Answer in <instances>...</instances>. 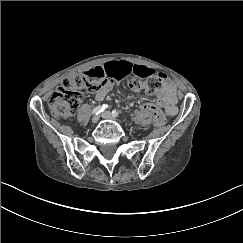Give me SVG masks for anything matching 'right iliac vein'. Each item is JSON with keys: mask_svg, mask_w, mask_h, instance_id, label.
I'll list each match as a JSON object with an SVG mask.
<instances>
[{"mask_svg": "<svg viewBox=\"0 0 243 243\" xmlns=\"http://www.w3.org/2000/svg\"><path fill=\"white\" fill-rule=\"evenodd\" d=\"M98 120H99V116H98V115H95V116H93V118H92V123L95 124V123L98 122Z\"/></svg>", "mask_w": 243, "mask_h": 243, "instance_id": "1", "label": "right iliac vein"}]
</instances>
